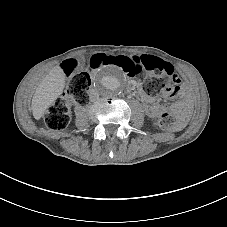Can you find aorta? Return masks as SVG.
I'll use <instances>...</instances> for the list:
<instances>
[{"label": "aorta", "instance_id": "1", "mask_svg": "<svg viewBox=\"0 0 227 227\" xmlns=\"http://www.w3.org/2000/svg\"><path fill=\"white\" fill-rule=\"evenodd\" d=\"M125 87L122 71L113 65L101 67L94 76L93 88L103 97L119 95Z\"/></svg>", "mask_w": 227, "mask_h": 227}]
</instances>
